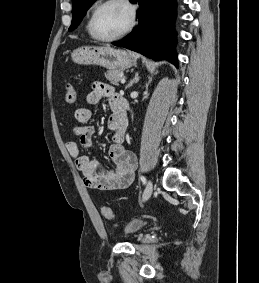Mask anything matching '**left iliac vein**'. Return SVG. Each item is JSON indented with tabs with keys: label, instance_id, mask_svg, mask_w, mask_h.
I'll return each mask as SVG.
<instances>
[{
	"label": "left iliac vein",
	"instance_id": "left-iliac-vein-1",
	"mask_svg": "<svg viewBox=\"0 0 259 283\" xmlns=\"http://www.w3.org/2000/svg\"><path fill=\"white\" fill-rule=\"evenodd\" d=\"M152 192H153V183L151 180H148L144 194H143V201L148 200L150 196L152 195Z\"/></svg>",
	"mask_w": 259,
	"mask_h": 283
}]
</instances>
